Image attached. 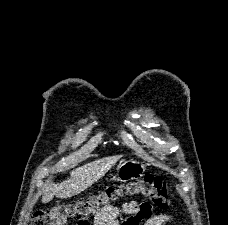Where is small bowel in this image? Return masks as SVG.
Returning <instances> with one entry per match:
<instances>
[{"mask_svg":"<svg viewBox=\"0 0 228 225\" xmlns=\"http://www.w3.org/2000/svg\"><path fill=\"white\" fill-rule=\"evenodd\" d=\"M143 204L127 201L121 207L108 206L100 211L93 219V225H167L173 222V216L168 213H160L152 216V204L148 199L142 200ZM136 218H127L126 222H119L121 215H135ZM144 218L146 221L144 222Z\"/></svg>","mask_w":228,"mask_h":225,"instance_id":"1","label":"small bowel"}]
</instances>
